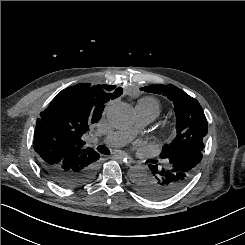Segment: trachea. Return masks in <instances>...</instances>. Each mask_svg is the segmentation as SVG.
Instances as JSON below:
<instances>
[{"label":"trachea","instance_id":"3493384b","mask_svg":"<svg viewBox=\"0 0 245 245\" xmlns=\"http://www.w3.org/2000/svg\"><path fill=\"white\" fill-rule=\"evenodd\" d=\"M97 150H98L100 153H102V154H109V153H110L109 149H108L106 146H104V145L98 146V147H97Z\"/></svg>","mask_w":245,"mask_h":245}]
</instances>
